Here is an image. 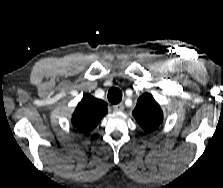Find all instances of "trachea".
<instances>
[{"label": "trachea", "instance_id": "trachea-1", "mask_svg": "<svg viewBox=\"0 0 223 188\" xmlns=\"http://www.w3.org/2000/svg\"><path fill=\"white\" fill-rule=\"evenodd\" d=\"M108 100L112 104H118L122 100V92L118 88H111L108 91Z\"/></svg>", "mask_w": 223, "mask_h": 188}]
</instances>
